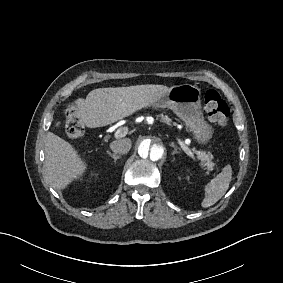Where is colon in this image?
Returning a JSON list of instances; mask_svg holds the SVG:
<instances>
[{"label":"colon","instance_id":"colon-1","mask_svg":"<svg viewBox=\"0 0 283 283\" xmlns=\"http://www.w3.org/2000/svg\"><path fill=\"white\" fill-rule=\"evenodd\" d=\"M204 100L209 120L217 128L226 127L229 119V110L219 93L213 89L207 90ZM64 128L71 138H79L84 133V125L76 116L73 107L67 108Z\"/></svg>","mask_w":283,"mask_h":283}]
</instances>
